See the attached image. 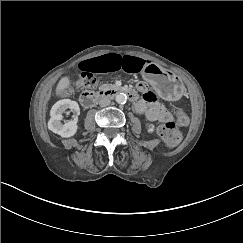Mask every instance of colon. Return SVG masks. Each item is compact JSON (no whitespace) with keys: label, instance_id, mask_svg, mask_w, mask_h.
<instances>
[{"label":"colon","instance_id":"colon-1","mask_svg":"<svg viewBox=\"0 0 243 243\" xmlns=\"http://www.w3.org/2000/svg\"><path fill=\"white\" fill-rule=\"evenodd\" d=\"M97 79L91 74H83L76 82L78 88L92 89L96 86ZM72 88L62 90V95H70ZM188 123L187 115L178 109H173V120L163 123L157 128L158 136L169 146L177 145L182 139L180 126Z\"/></svg>","mask_w":243,"mask_h":243}]
</instances>
